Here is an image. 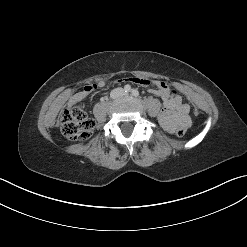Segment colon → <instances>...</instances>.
<instances>
[{"label":"colon","instance_id":"1","mask_svg":"<svg viewBox=\"0 0 247 247\" xmlns=\"http://www.w3.org/2000/svg\"><path fill=\"white\" fill-rule=\"evenodd\" d=\"M172 94H178L175 90H171ZM94 121L87 116L85 111L79 107L66 109L60 118V128L63 135L69 140H84L90 137ZM186 128L178 127L177 136H183Z\"/></svg>","mask_w":247,"mask_h":247}]
</instances>
